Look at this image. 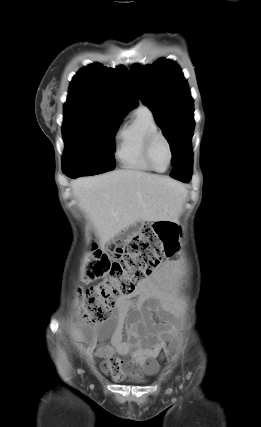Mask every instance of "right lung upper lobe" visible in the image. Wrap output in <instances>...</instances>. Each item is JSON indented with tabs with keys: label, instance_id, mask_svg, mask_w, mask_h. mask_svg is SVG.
Listing matches in <instances>:
<instances>
[{
	"label": "right lung upper lobe",
	"instance_id": "right-lung-upper-lobe-1",
	"mask_svg": "<svg viewBox=\"0 0 261 427\" xmlns=\"http://www.w3.org/2000/svg\"><path fill=\"white\" fill-rule=\"evenodd\" d=\"M137 104L127 68L92 64L73 77L64 113L93 112L123 118Z\"/></svg>",
	"mask_w": 261,
	"mask_h": 427
}]
</instances>
